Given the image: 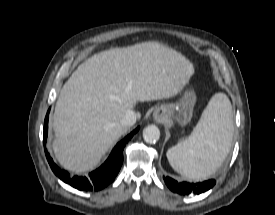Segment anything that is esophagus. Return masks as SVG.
<instances>
[{
  "mask_svg": "<svg viewBox=\"0 0 275 215\" xmlns=\"http://www.w3.org/2000/svg\"><path fill=\"white\" fill-rule=\"evenodd\" d=\"M153 118L156 122L163 123L167 120L168 115L164 108L159 107L155 110V112L153 114Z\"/></svg>",
  "mask_w": 275,
  "mask_h": 215,
  "instance_id": "34e87169",
  "label": "esophagus"
}]
</instances>
